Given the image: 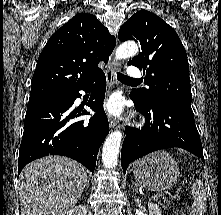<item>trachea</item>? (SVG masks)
<instances>
[{"mask_svg":"<svg viewBox=\"0 0 221 215\" xmlns=\"http://www.w3.org/2000/svg\"><path fill=\"white\" fill-rule=\"evenodd\" d=\"M117 78H118L119 80H121V81H130V82H136V81H137V80L132 79V78H130V77H127V76H125V75H123V74H121V73H117Z\"/></svg>","mask_w":221,"mask_h":215,"instance_id":"trachea-1","label":"trachea"}]
</instances>
